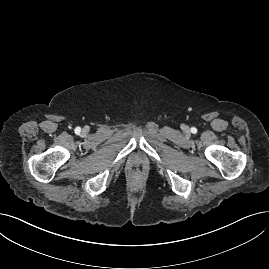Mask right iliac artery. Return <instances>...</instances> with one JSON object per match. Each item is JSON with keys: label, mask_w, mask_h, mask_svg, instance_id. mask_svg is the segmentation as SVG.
Listing matches in <instances>:
<instances>
[{"label": "right iliac artery", "mask_w": 269, "mask_h": 269, "mask_svg": "<svg viewBox=\"0 0 269 269\" xmlns=\"http://www.w3.org/2000/svg\"><path fill=\"white\" fill-rule=\"evenodd\" d=\"M75 131H76V133H79V132L81 131V128H80V127H77V128L75 129Z\"/></svg>", "instance_id": "obj_1"}]
</instances>
